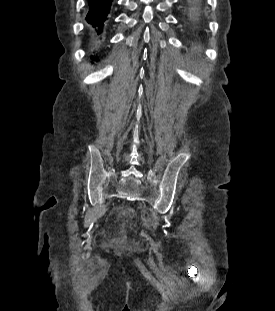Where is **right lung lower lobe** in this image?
<instances>
[{
  "label": "right lung lower lobe",
  "instance_id": "right-lung-lower-lobe-1",
  "mask_svg": "<svg viewBox=\"0 0 275 311\" xmlns=\"http://www.w3.org/2000/svg\"><path fill=\"white\" fill-rule=\"evenodd\" d=\"M112 0H89V11L86 16L87 22L99 35L110 12Z\"/></svg>",
  "mask_w": 275,
  "mask_h": 311
}]
</instances>
